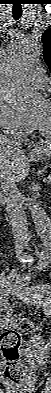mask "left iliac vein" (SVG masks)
Instances as JSON below:
<instances>
[{
  "label": "left iliac vein",
  "instance_id": "obj_1",
  "mask_svg": "<svg viewBox=\"0 0 51 393\" xmlns=\"http://www.w3.org/2000/svg\"><path fill=\"white\" fill-rule=\"evenodd\" d=\"M13 290L18 297L24 298L26 302L32 305L42 308L49 307V302L44 299L43 292L34 288V286L30 287L22 283H16Z\"/></svg>",
  "mask_w": 51,
  "mask_h": 393
}]
</instances>
